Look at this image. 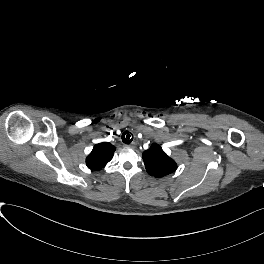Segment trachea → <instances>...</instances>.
Segmentation results:
<instances>
[{"label":"trachea","mask_w":264,"mask_h":264,"mask_svg":"<svg viewBox=\"0 0 264 264\" xmlns=\"http://www.w3.org/2000/svg\"><path fill=\"white\" fill-rule=\"evenodd\" d=\"M133 140V134L130 133L129 131H125L123 134H122V141L125 143V144H130Z\"/></svg>","instance_id":"1"}]
</instances>
